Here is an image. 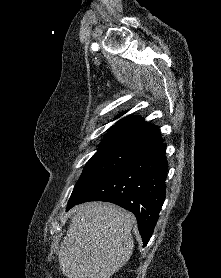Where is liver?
<instances>
[{
    "instance_id": "1",
    "label": "liver",
    "mask_w": 221,
    "mask_h": 278,
    "mask_svg": "<svg viewBox=\"0 0 221 278\" xmlns=\"http://www.w3.org/2000/svg\"><path fill=\"white\" fill-rule=\"evenodd\" d=\"M135 216L111 203L91 202L74 210L60 245L59 265L68 278H110L130 259Z\"/></svg>"
}]
</instances>
